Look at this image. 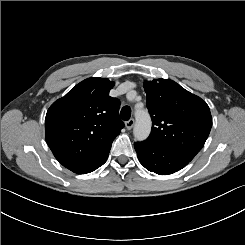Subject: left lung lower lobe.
Segmentation results:
<instances>
[{
    "instance_id": "1",
    "label": "left lung lower lobe",
    "mask_w": 245,
    "mask_h": 245,
    "mask_svg": "<svg viewBox=\"0 0 245 245\" xmlns=\"http://www.w3.org/2000/svg\"><path fill=\"white\" fill-rule=\"evenodd\" d=\"M140 163L149 171L159 175H169L184 168L190 161L175 151L146 142H135Z\"/></svg>"
}]
</instances>
